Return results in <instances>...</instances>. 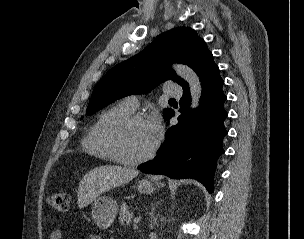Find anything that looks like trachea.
Masks as SVG:
<instances>
[{"instance_id": "3493384b", "label": "trachea", "mask_w": 304, "mask_h": 239, "mask_svg": "<svg viewBox=\"0 0 304 239\" xmlns=\"http://www.w3.org/2000/svg\"><path fill=\"white\" fill-rule=\"evenodd\" d=\"M169 101H175V99H170Z\"/></svg>"}]
</instances>
